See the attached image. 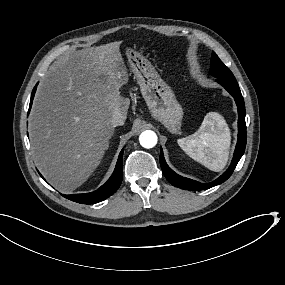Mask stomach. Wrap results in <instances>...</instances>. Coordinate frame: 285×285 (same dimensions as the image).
Instances as JSON below:
<instances>
[{
	"label": "stomach",
	"instance_id": "stomach-1",
	"mask_svg": "<svg viewBox=\"0 0 285 285\" xmlns=\"http://www.w3.org/2000/svg\"><path fill=\"white\" fill-rule=\"evenodd\" d=\"M126 55L152 117L160 121L171 133H178L183 109L172 88L140 53L127 49Z\"/></svg>",
	"mask_w": 285,
	"mask_h": 285
}]
</instances>
